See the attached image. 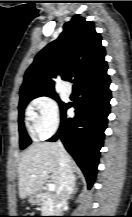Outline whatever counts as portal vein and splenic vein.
Here are the masks:
<instances>
[{
    "mask_svg": "<svg viewBox=\"0 0 132 217\" xmlns=\"http://www.w3.org/2000/svg\"><path fill=\"white\" fill-rule=\"evenodd\" d=\"M33 177H35V176H33ZM48 188H49L50 191H54L55 190V185L50 183V184H48Z\"/></svg>",
    "mask_w": 132,
    "mask_h": 217,
    "instance_id": "1",
    "label": "portal vein and splenic vein"
}]
</instances>
